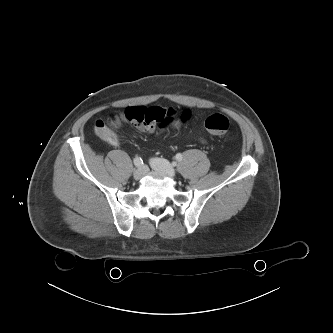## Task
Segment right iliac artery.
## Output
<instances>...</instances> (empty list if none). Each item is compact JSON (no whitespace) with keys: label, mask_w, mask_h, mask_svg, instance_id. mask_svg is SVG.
<instances>
[{"label":"right iliac artery","mask_w":333,"mask_h":333,"mask_svg":"<svg viewBox=\"0 0 333 333\" xmlns=\"http://www.w3.org/2000/svg\"><path fill=\"white\" fill-rule=\"evenodd\" d=\"M134 164H135V166L140 167L143 164V161L140 157H136L134 159Z\"/></svg>","instance_id":"right-iliac-artery-1"}]
</instances>
